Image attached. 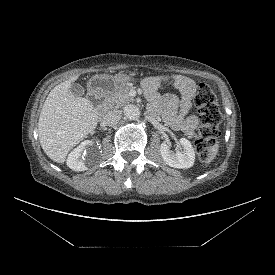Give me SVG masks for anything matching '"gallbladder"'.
Returning a JSON list of instances; mask_svg holds the SVG:
<instances>
[{
  "mask_svg": "<svg viewBox=\"0 0 275 275\" xmlns=\"http://www.w3.org/2000/svg\"><path fill=\"white\" fill-rule=\"evenodd\" d=\"M70 92L75 96H82L85 94V89L79 83H72L70 86Z\"/></svg>",
  "mask_w": 275,
  "mask_h": 275,
  "instance_id": "1",
  "label": "gallbladder"
}]
</instances>
